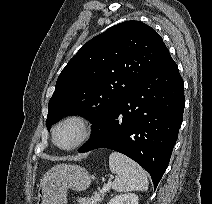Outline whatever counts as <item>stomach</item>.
<instances>
[{
    "instance_id": "0dacf381",
    "label": "stomach",
    "mask_w": 212,
    "mask_h": 204,
    "mask_svg": "<svg viewBox=\"0 0 212 204\" xmlns=\"http://www.w3.org/2000/svg\"><path fill=\"white\" fill-rule=\"evenodd\" d=\"M92 177L80 166L56 165L47 171L40 181L37 204H67V190L70 188L74 191H84L89 187Z\"/></svg>"
}]
</instances>
